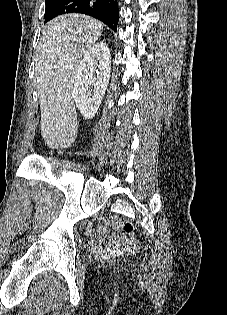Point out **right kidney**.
Here are the masks:
<instances>
[{"label":"right kidney","instance_id":"ca27d5eb","mask_svg":"<svg viewBox=\"0 0 227 315\" xmlns=\"http://www.w3.org/2000/svg\"><path fill=\"white\" fill-rule=\"evenodd\" d=\"M110 72V50L101 41L86 51L75 74L73 98L85 119H91L97 113L109 84Z\"/></svg>","mask_w":227,"mask_h":315}]
</instances>
